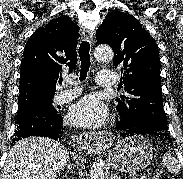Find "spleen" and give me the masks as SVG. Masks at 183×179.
Instances as JSON below:
<instances>
[{"label": "spleen", "instance_id": "3e777b00", "mask_svg": "<svg viewBox=\"0 0 183 179\" xmlns=\"http://www.w3.org/2000/svg\"><path fill=\"white\" fill-rule=\"evenodd\" d=\"M162 164L166 166L169 172L178 173L180 171V164L174 156L169 153L164 154Z\"/></svg>", "mask_w": 183, "mask_h": 179}]
</instances>
